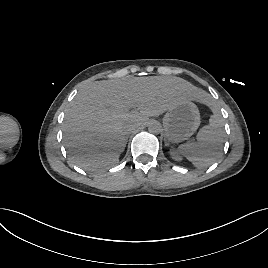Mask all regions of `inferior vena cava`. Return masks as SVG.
Masks as SVG:
<instances>
[{
    "label": "inferior vena cava",
    "mask_w": 268,
    "mask_h": 268,
    "mask_svg": "<svg viewBox=\"0 0 268 268\" xmlns=\"http://www.w3.org/2000/svg\"><path fill=\"white\" fill-rule=\"evenodd\" d=\"M135 128H136V127L128 126V127H127V133H128V132H132V131H134Z\"/></svg>",
    "instance_id": "inferior-vena-cava-1"
}]
</instances>
